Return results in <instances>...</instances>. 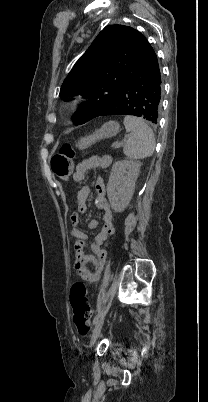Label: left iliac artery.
<instances>
[{
	"label": "left iliac artery",
	"mask_w": 208,
	"mask_h": 402,
	"mask_svg": "<svg viewBox=\"0 0 208 402\" xmlns=\"http://www.w3.org/2000/svg\"><path fill=\"white\" fill-rule=\"evenodd\" d=\"M98 321V315H96L93 319V324H96V322Z\"/></svg>",
	"instance_id": "left-iliac-artery-1"
}]
</instances>
